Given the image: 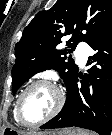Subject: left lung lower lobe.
<instances>
[{
    "label": "left lung lower lobe",
    "mask_w": 112,
    "mask_h": 135,
    "mask_svg": "<svg viewBox=\"0 0 112 135\" xmlns=\"http://www.w3.org/2000/svg\"><path fill=\"white\" fill-rule=\"evenodd\" d=\"M97 53L87 65L96 64L82 76L78 72L67 86V98L60 113L40 128L80 127L110 135L112 131V22L90 44ZM81 79V86L77 82Z\"/></svg>",
    "instance_id": "obj_1"
}]
</instances>
